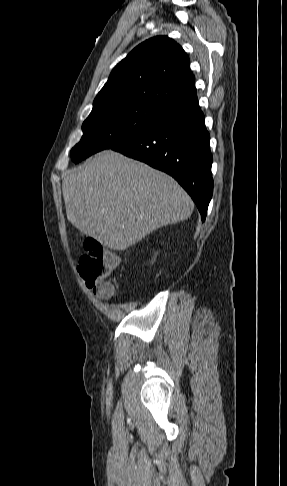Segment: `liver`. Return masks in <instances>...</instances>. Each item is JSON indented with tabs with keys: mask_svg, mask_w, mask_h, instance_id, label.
Here are the masks:
<instances>
[{
	"mask_svg": "<svg viewBox=\"0 0 287 486\" xmlns=\"http://www.w3.org/2000/svg\"><path fill=\"white\" fill-rule=\"evenodd\" d=\"M62 191L71 224L113 250L188 219L194 209L172 177L112 150L66 172Z\"/></svg>",
	"mask_w": 287,
	"mask_h": 486,
	"instance_id": "liver-1",
	"label": "liver"
}]
</instances>
